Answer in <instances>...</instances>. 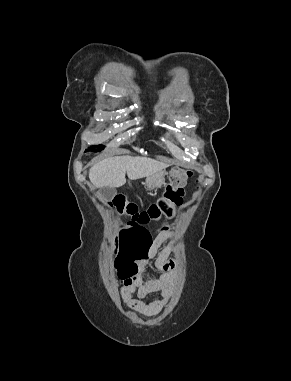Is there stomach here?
Returning <instances> with one entry per match:
<instances>
[{"label": "stomach", "mask_w": 291, "mask_h": 381, "mask_svg": "<svg viewBox=\"0 0 291 381\" xmlns=\"http://www.w3.org/2000/svg\"><path fill=\"white\" fill-rule=\"evenodd\" d=\"M165 175H167V173L164 171H161L152 176L147 177L146 184L148 189L151 190V189L161 188L163 184L165 183Z\"/></svg>", "instance_id": "0dacf381"}]
</instances>
